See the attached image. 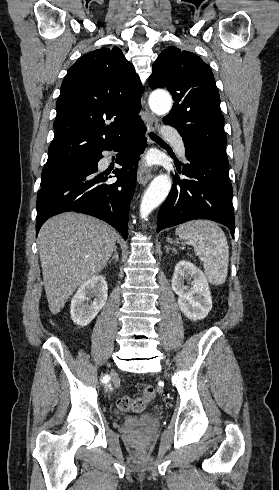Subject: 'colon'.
I'll list each match as a JSON object with an SVG mask.
<instances>
[{"mask_svg": "<svg viewBox=\"0 0 279 490\" xmlns=\"http://www.w3.org/2000/svg\"><path fill=\"white\" fill-rule=\"evenodd\" d=\"M155 397V390L153 388H146L142 396L136 397V398H131L129 396H124L121 397L118 401V408L123 411H134V412H141L146 407L148 404L154 399Z\"/></svg>", "mask_w": 279, "mask_h": 490, "instance_id": "obj_1", "label": "colon"}]
</instances>
